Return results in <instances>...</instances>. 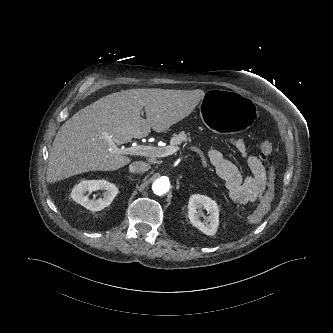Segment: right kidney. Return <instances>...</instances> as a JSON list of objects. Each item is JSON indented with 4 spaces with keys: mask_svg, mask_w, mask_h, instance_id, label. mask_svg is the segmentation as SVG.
<instances>
[{
    "mask_svg": "<svg viewBox=\"0 0 333 333\" xmlns=\"http://www.w3.org/2000/svg\"><path fill=\"white\" fill-rule=\"evenodd\" d=\"M101 190L104 191L103 198L90 200L85 196L86 192ZM118 194V188L106 180H85L74 187L71 192L72 199L91 211H100L109 206L115 196Z\"/></svg>",
    "mask_w": 333,
    "mask_h": 333,
    "instance_id": "obj_1",
    "label": "right kidney"
}]
</instances>
